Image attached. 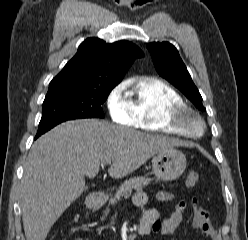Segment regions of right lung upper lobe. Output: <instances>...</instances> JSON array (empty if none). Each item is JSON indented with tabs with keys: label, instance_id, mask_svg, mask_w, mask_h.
<instances>
[{
	"label": "right lung upper lobe",
	"instance_id": "obj_1",
	"mask_svg": "<svg viewBox=\"0 0 248 240\" xmlns=\"http://www.w3.org/2000/svg\"><path fill=\"white\" fill-rule=\"evenodd\" d=\"M141 56L143 52L129 41L109 44L99 38H88L53 78L48 91L63 88L113 89L122 80L134 59Z\"/></svg>",
	"mask_w": 248,
	"mask_h": 240
}]
</instances>
